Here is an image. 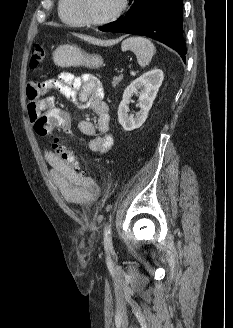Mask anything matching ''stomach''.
<instances>
[{"label": "stomach", "instance_id": "stomach-1", "mask_svg": "<svg viewBox=\"0 0 233 328\" xmlns=\"http://www.w3.org/2000/svg\"><path fill=\"white\" fill-rule=\"evenodd\" d=\"M53 61L60 67L99 68L103 64V59L97 54H89L76 45H60L53 52Z\"/></svg>", "mask_w": 233, "mask_h": 328}]
</instances>
